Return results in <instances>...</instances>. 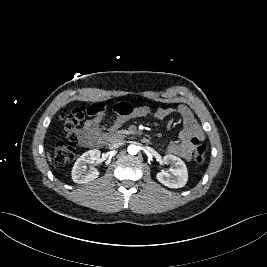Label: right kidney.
Here are the masks:
<instances>
[{
    "label": "right kidney",
    "mask_w": 267,
    "mask_h": 267,
    "mask_svg": "<svg viewBox=\"0 0 267 267\" xmlns=\"http://www.w3.org/2000/svg\"><path fill=\"white\" fill-rule=\"evenodd\" d=\"M100 156L101 152L97 149L83 153L72 168V180L75 183L84 184L97 178L99 176V171L94 166L87 169V165L99 162Z\"/></svg>",
    "instance_id": "right-kidney-1"
}]
</instances>
